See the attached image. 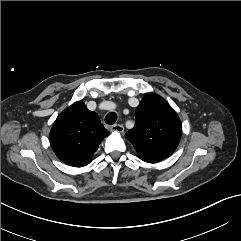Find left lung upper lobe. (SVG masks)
<instances>
[{
  "label": "left lung upper lobe",
  "instance_id": "5c2ea615",
  "mask_svg": "<svg viewBox=\"0 0 241 241\" xmlns=\"http://www.w3.org/2000/svg\"><path fill=\"white\" fill-rule=\"evenodd\" d=\"M135 118V126L125 137L134 145L141 160L156 163L175 151L181 138V122L161 96L145 95L136 108Z\"/></svg>",
  "mask_w": 241,
  "mask_h": 241
}]
</instances>
